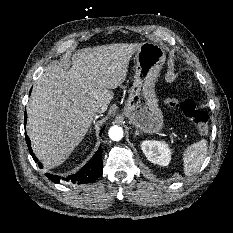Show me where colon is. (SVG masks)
Returning a JSON list of instances; mask_svg holds the SVG:
<instances>
[{
    "label": "colon",
    "mask_w": 233,
    "mask_h": 233,
    "mask_svg": "<svg viewBox=\"0 0 233 233\" xmlns=\"http://www.w3.org/2000/svg\"><path fill=\"white\" fill-rule=\"evenodd\" d=\"M167 104L170 107L179 109L187 118L195 125L198 134L205 136L209 132L208 114L197 107L195 100L192 97L178 99L168 97Z\"/></svg>",
    "instance_id": "5ec220e1"
}]
</instances>
